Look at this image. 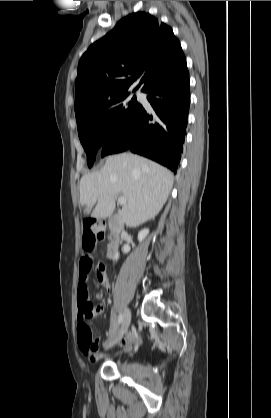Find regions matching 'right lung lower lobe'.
I'll return each mask as SVG.
<instances>
[{
  "mask_svg": "<svg viewBox=\"0 0 271 418\" xmlns=\"http://www.w3.org/2000/svg\"><path fill=\"white\" fill-rule=\"evenodd\" d=\"M147 93L155 114L141 106L106 138L102 156L130 150L175 172L183 151L190 105L186 60Z\"/></svg>",
  "mask_w": 271,
  "mask_h": 418,
  "instance_id": "98d812e1",
  "label": "right lung lower lobe"
}]
</instances>
